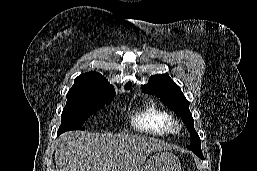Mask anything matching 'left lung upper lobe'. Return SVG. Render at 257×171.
Returning <instances> with one entry per match:
<instances>
[{
	"mask_svg": "<svg viewBox=\"0 0 257 171\" xmlns=\"http://www.w3.org/2000/svg\"><path fill=\"white\" fill-rule=\"evenodd\" d=\"M147 93L155 95L180 115L185 123L187 130L191 134V146L188 148L194 153H201V142L197 132L194 129V120L189 110V101L185 98L179 86H177L168 74L153 75L147 85L142 86Z\"/></svg>",
	"mask_w": 257,
	"mask_h": 171,
	"instance_id": "left-lung-upper-lobe-1",
	"label": "left lung upper lobe"
}]
</instances>
